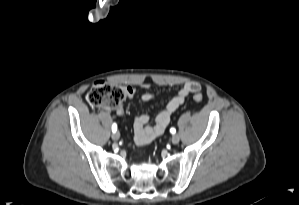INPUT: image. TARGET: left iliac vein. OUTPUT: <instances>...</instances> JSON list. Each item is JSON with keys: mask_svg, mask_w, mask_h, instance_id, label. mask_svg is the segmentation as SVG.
Returning <instances> with one entry per match:
<instances>
[{"mask_svg": "<svg viewBox=\"0 0 299 205\" xmlns=\"http://www.w3.org/2000/svg\"><path fill=\"white\" fill-rule=\"evenodd\" d=\"M171 141H172L173 144H178L179 141H180V136L178 134H173L172 138H171Z\"/></svg>", "mask_w": 299, "mask_h": 205, "instance_id": "4c4485c4", "label": "left iliac vein"}]
</instances>
